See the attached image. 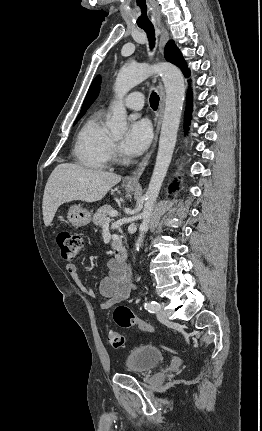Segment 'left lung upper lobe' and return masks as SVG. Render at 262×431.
<instances>
[{"label": "left lung upper lobe", "mask_w": 262, "mask_h": 431, "mask_svg": "<svg viewBox=\"0 0 262 431\" xmlns=\"http://www.w3.org/2000/svg\"><path fill=\"white\" fill-rule=\"evenodd\" d=\"M165 58L166 60L178 65L186 77L189 76V70L186 66V63L180 53L179 49L175 46L173 41H169L165 47Z\"/></svg>", "instance_id": "obj_1"}]
</instances>
